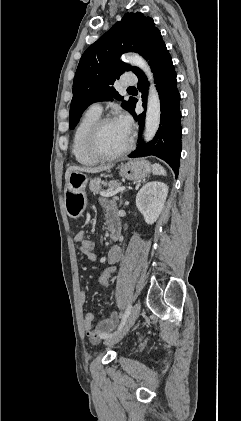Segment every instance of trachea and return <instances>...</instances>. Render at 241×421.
<instances>
[{
	"label": "trachea",
	"instance_id": "trachea-1",
	"mask_svg": "<svg viewBox=\"0 0 241 421\" xmlns=\"http://www.w3.org/2000/svg\"><path fill=\"white\" fill-rule=\"evenodd\" d=\"M128 89H129V90H132V89H135V88H134V87H129Z\"/></svg>",
	"mask_w": 241,
	"mask_h": 421
}]
</instances>
